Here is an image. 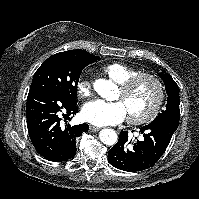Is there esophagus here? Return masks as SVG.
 Listing matches in <instances>:
<instances>
[{"label":"esophagus","instance_id":"obj_1","mask_svg":"<svg viewBox=\"0 0 199 199\" xmlns=\"http://www.w3.org/2000/svg\"><path fill=\"white\" fill-rule=\"evenodd\" d=\"M89 129H90V131L93 132V133L98 132V131L100 130L99 127H95V126H90Z\"/></svg>","mask_w":199,"mask_h":199}]
</instances>
